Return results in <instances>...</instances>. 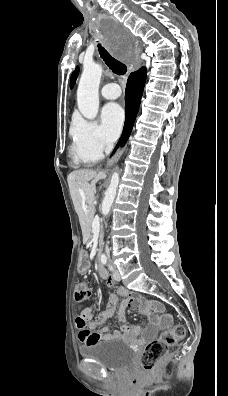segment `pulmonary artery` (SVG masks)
<instances>
[{
	"instance_id": "e3ab8cb5",
	"label": "pulmonary artery",
	"mask_w": 228,
	"mask_h": 396,
	"mask_svg": "<svg viewBox=\"0 0 228 396\" xmlns=\"http://www.w3.org/2000/svg\"><path fill=\"white\" fill-rule=\"evenodd\" d=\"M101 95L105 99H116L121 95V89L116 83H108L102 87Z\"/></svg>"
}]
</instances>
